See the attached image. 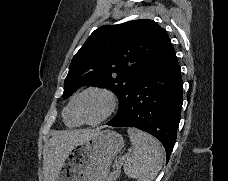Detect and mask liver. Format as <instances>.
<instances>
[{
	"label": "liver",
	"mask_w": 228,
	"mask_h": 181,
	"mask_svg": "<svg viewBox=\"0 0 228 181\" xmlns=\"http://www.w3.org/2000/svg\"><path fill=\"white\" fill-rule=\"evenodd\" d=\"M97 131L100 129L84 131L82 135L79 131H54L50 141L46 143L43 153V173L47 181H56L71 149L79 143H84L88 137H92Z\"/></svg>",
	"instance_id": "liver-1"
}]
</instances>
